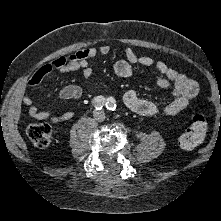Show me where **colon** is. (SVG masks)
I'll list each match as a JSON object with an SVG mask.
<instances>
[{"label":"colon","instance_id":"colon-1","mask_svg":"<svg viewBox=\"0 0 221 221\" xmlns=\"http://www.w3.org/2000/svg\"><path fill=\"white\" fill-rule=\"evenodd\" d=\"M207 131V121L203 115L197 114L192 118L189 127L180 135L178 146L181 149H192L199 145ZM30 141L39 148L48 147L54 137V130L47 124H31L27 129Z\"/></svg>","mask_w":221,"mask_h":221}]
</instances>
